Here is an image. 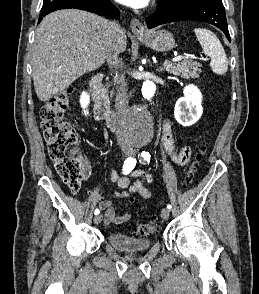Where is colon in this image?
<instances>
[{
	"mask_svg": "<svg viewBox=\"0 0 259 294\" xmlns=\"http://www.w3.org/2000/svg\"><path fill=\"white\" fill-rule=\"evenodd\" d=\"M72 89H66L51 97L41 108V126L47 142L51 160L62 181L72 190H78L82 182V158L76 147V136L71 125L64 119ZM208 144L204 141L198 149L193 162L185 175L184 182L189 184L199 166ZM158 230L154 219L137 225V236H151Z\"/></svg>",
	"mask_w": 259,
	"mask_h": 294,
	"instance_id": "colon-1",
	"label": "colon"
}]
</instances>
